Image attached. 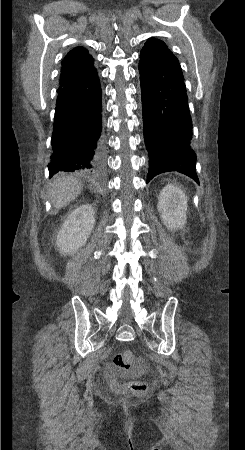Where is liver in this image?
Returning <instances> with one entry per match:
<instances>
[{"label": "liver", "mask_w": 245, "mask_h": 450, "mask_svg": "<svg viewBox=\"0 0 245 450\" xmlns=\"http://www.w3.org/2000/svg\"><path fill=\"white\" fill-rule=\"evenodd\" d=\"M82 182L72 176H59L55 179L49 194L53 206L59 210L66 207L81 192Z\"/></svg>", "instance_id": "liver-1"}]
</instances>
